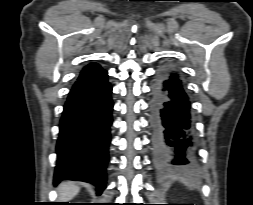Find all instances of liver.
Returning <instances> with one entry per match:
<instances>
[{
	"mask_svg": "<svg viewBox=\"0 0 253 205\" xmlns=\"http://www.w3.org/2000/svg\"><path fill=\"white\" fill-rule=\"evenodd\" d=\"M79 186L75 182L66 181L58 186L59 200H71L79 193Z\"/></svg>",
	"mask_w": 253,
	"mask_h": 205,
	"instance_id": "1",
	"label": "liver"
}]
</instances>
